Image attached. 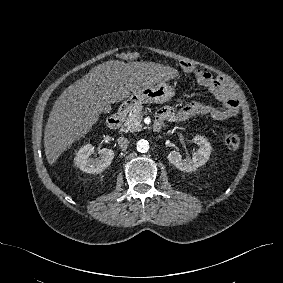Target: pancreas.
Segmentation results:
<instances>
[{"label":"pancreas","mask_w":283,"mask_h":283,"mask_svg":"<svg viewBox=\"0 0 283 283\" xmlns=\"http://www.w3.org/2000/svg\"><path fill=\"white\" fill-rule=\"evenodd\" d=\"M142 105L136 106L126 118L125 123L123 124L121 131L127 132H136L142 129L141 121L142 116Z\"/></svg>","instance_id":"obj_1"}]
</instances>
